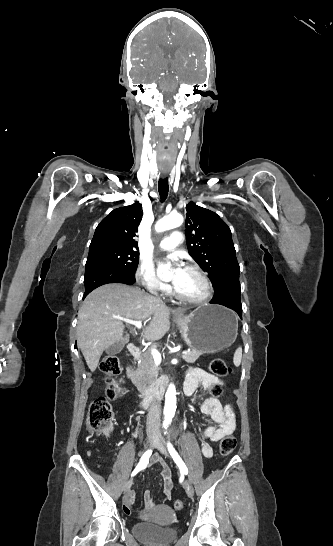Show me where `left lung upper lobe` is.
I'll list each match as a JSON object with an SVG mask.
<instances>
[{"label":"left lung upper lobe","instance_id":"1","mask_svg":"<svg viewBox=\"0 0 333 546\" xmlns=\"http://www.w3.org/2000/svg\"><path fill=\"white\" fill-rule=\"evenodd\" d=\"M186 213V239L190 256L208 273L215 291L239 280L240 267L230 228L214 212L190 202Z\"/></svg>","mask_w":333,"mask_h":546}]
</instances>
